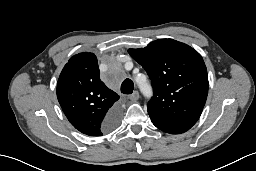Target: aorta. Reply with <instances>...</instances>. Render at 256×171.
Masks as SVG:
<instances>
[{
	"label": "aorta",
	"instance_id": "aorta-1",
	"mask_svg": "<svg viewBox=\"0 0 256 171\" xmlns=\"http://www.w3.org/2000/svg\"><path fill=\"white\" fill-rule=\"evenodd\" d=\"M139 87L141 89V91L146 94V95H149L151 90H150V87L148 85H145V84H139Z\"/></svg>",
	"mask_w": 256,
	"mask_h": 171
}]
</instances>
